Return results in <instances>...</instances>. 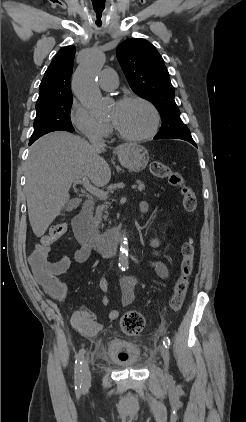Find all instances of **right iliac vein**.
Here are the masks:
<instances>
[{
	"instance_id": "63e3f726",
	"label": "right iliac vein",
	"mask_w": 246,
	"mask_h": 422,
	"mask_svg": "<svg viewBox=\"0 0 246 422\" xmlns=\"http://www.w3.org/2000/svg\"><path fill=\"white\" fill-rule=\"evenodd\" d=\"M82 378L84 388L88 387L91 383V372L89 369L88 360L85 359L82 364Z\"/></svg>"
}]
</instances>
